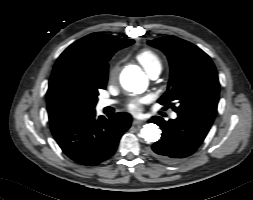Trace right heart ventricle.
<instances>
[{
	"label": "right heart ventricle",
	"instance_id": "right-heart-ventricle-1",
	"mask_svg": "<svg viewBox=\"0 0 253 200\" xmlns=\"http://www.w3.org/2000/svg\"><path fill=\"white\" fill-rule=\"evenodd\" d=\"M136 57L147 73L155 70H162V60L154 51L143 49L137 53Z\"/></svg>",
	"mask_w": 253,
	"mask_h": 200
}]
</instances>
